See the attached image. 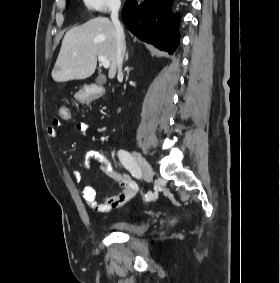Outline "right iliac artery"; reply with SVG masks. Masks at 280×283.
<instances>
[{"label":"right iliac artery","instance_id":"right-iliac-artery-1","mask_svg":"<svg viewBox=\"0 0 280 283\" xmlns=\"http://www.w3.org/2000/svg\"><path fill=\"white\" fill-rule=\"evenodd\" d=\"M118 157L122 163V165L137 179H142L141 169L138 166L135 159L132 157V155L125 150H119L118 151ZM152 198V195L150 192H148L145 195V201L148 202Z\"/></svg>","mask_w":280,"mask_h":283}]
</instances>
